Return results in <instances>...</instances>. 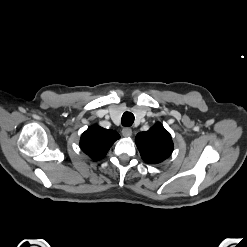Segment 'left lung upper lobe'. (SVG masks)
<instances>
[{"label": "left lung upper lobe", "mask_w": 247, "mask_h": 247, "mask_svg": "<svg viewBox=\"0 0 247 247\" xmlns=\"http://www.w3.org/2000/svg\"><path fill=\"white\" fill-rule=\"evenodd\" d=\"M135 142L142 159L149 164L163 162L173 151L171 135L160 123L146 132L138 133Z\"/></svg>", "instance_id": "1"}]
</instances>
